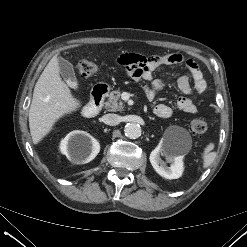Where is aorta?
Masks as SVG:
<instances>
[{"label": "aorta", "mask_w": 247, "mask_h": 247, "mask_svg": "<svg viewBox=\"0 0 247 247\" xmlns=\"http://www.w3.org/2000/svg\"><path fill=\"white\" fill-rule=\"evenodd\" d=\"M125 136L130 139H136L141 136V127L136 123H128L124 128Z\"/></svg>", "instance_id": "obj_1"}]
</instances>
